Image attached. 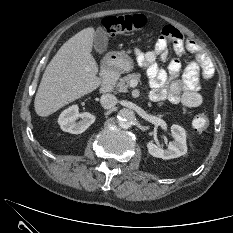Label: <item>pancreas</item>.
<instances>
[{
    "instance_id": "cf45deb5",
    "label": "pancreas",
    "mask_w": 233,
    "mask_h": 233,
    "mask_svg": "<svg viewBox=\"0 0 233 233\" xmlns=\"http://www.w3.org/2000/svg\"><path fill=\"white\" fill-rule=\"evenodd\" d=\"M140 74L139 73H132V74H128L122 78L119 79V82L116 85V89L119 92H127L129 85H130V81L135 79L137 81L140 80Z\"/></svg>"
}]
</instances>
